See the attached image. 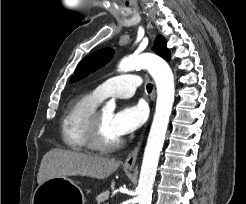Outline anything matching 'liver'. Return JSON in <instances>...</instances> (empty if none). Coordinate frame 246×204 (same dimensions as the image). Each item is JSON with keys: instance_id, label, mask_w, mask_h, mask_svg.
<instances>
[{"instance_id": "6515ba94", "label": "liver", "mask_w": 246, "mask_h": 204, "mask_svg": "<svg viewBox=\"0 0 246 204\" xmlns=\"http://www.w3.org/2000/svg\"><path fill=\"white\" fill-rule=\"evenodd\" d=\"M120 161L78 151L51 149L44 156L38 171L37 182L66 176H88L105 179L118 169Z\"/></svg>"}]
</instances>
